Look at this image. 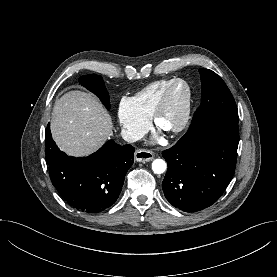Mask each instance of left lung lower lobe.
I'll return each mask as SVG.
<instances>
[{
    "instance_id": "0a47b994",
    "label": "left lung lower lobe",
    "mask_w": 277,
    "mask_h": 277,
    "mask_svg": "<svg viewBox=\"0 0 277 277\" xmlns=\"http://www.w3.org/2000/svg\"><path fill=\"white\" fill-rule=\"evenodd\" d=\"M238 143V124L213 121L187 131L162 152L168 163L162 182L166 199L188 213L211 206L234 175Z\"/></svg>"
}]
</instances>
